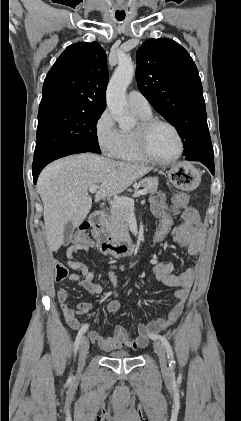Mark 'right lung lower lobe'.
<instances>
[{
  "mask_svg": "<svg viewBox=\"0 0 241 421\" xmlns=\"http://www.w3.org/2000/svg\"><path fill=\"white\" fill-rule=\"evenodd\" d=\"M83 152H88V151L87 150H69V151H65V152H62V153L51 155L49 157H46V158H43V159H40V160H34L33 161V170H32L33 171L34 183H36L37 177L40 174L41 170L47 164H49L50 162H52V161H54L58 158L67 156V155L76 154V153H83Z\"/></svg>",
  "mask_w": 241,
  "mask_h": 421,
  "instance_id": "right-lung-lower-lobe-1",
  "label": "right lung lower lobe"
}]
</instances>
